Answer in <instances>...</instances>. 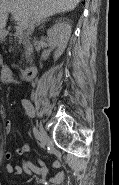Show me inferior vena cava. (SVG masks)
<instances>
[{"mask_svg": "<svg viewBox=\"0 0 119 185\" xmlns=\"http://www.w3.org/2000/svg\"><path fill=\"white\" fill-rule=\"evenodd\" d=\"M28 31H29L30 33H32V32L34 31V23H33V22H30V23H29Z\"/></svg>", "mask_w": 119, "mask_h": 185, "instance_id": "obj_1", "label": "inferior vena cava"}]
</instances>
